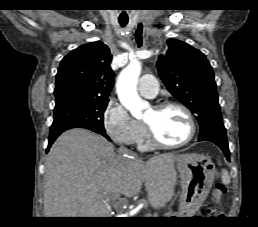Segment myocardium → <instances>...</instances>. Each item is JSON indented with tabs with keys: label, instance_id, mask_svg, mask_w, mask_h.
<instances>
[{
	"label": "myocardium",
	"instance_id": "obj_1",
	"mask_svg": "<svg viewBox=\"0 0 258 227\" xmlns=\"http://www.w3.org/2000/svg\"><path fill=\"white\" fill-rule=\"evenodd\" d=\"M170 107L178 108L186 115L190 125V132L184 140L178 143H167L162 141L154 131L153 127L149 123L144 121L149 139L152 145L155 147L166 148V149L179 148L191 142L196 135L197 126H196L195 118L192 112L190 111V109L184 104L175 102V101H164V102L155 104L152 108L156 111H161Z\"/></svg>",
	"mask_w": 258,
	"mask_h": 227
}]
</instances>
